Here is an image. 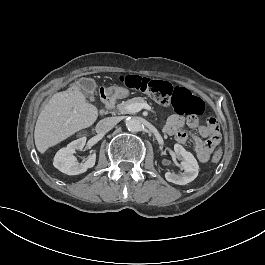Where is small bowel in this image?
I'll return each mask as SVG.
<instances>
[{"instance_id": "1", "label": "small bowel", "mask_w": 265, "mask_h": 265, "mask_svg": "<svg viewBox=\"0 0 265 265\" xmlns=\"http://www.w3.org/2000/svg\"><path fill=\"white\" fill-rule=\"evenodd\" d=\"M185 125L196 129L198 134L186 132ZM163 130L167 135L173 136L179 144L184 145L191 142L195 155L201 163L209 161L214 149L220 143V132L216 121L199 125L195 118L185 119L180 115L173 114L167 119Z\"/></svg>"}]
</instances>
